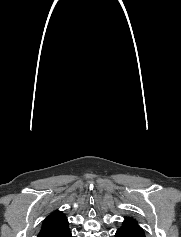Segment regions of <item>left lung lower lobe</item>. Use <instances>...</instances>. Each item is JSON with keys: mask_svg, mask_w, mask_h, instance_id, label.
Returning a JSON list of instances; mask_svg holds the SVG:
<instances>
[{"mask_svg": "<svg viewBox=\"0 0 181 237\" xmlns=\"http://www.w3.org/2000/svg\"><path fill=\"white\" fill-rule=\"evenodd\" d=\"M115 237H145V233L138 228L118 229Z\"/></svg>", "mask_w": 181, "mask_h": 237, "instance_id": "1", "label": "left lung lower lobe"}]
</instances>
